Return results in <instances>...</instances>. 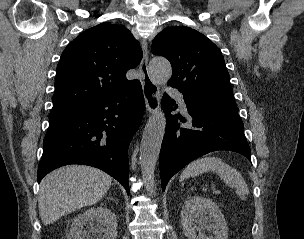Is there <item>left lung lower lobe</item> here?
I'll return each instance as SVG.
<instances>
[{"mask_svg":"<svg viewBox=\"0 0 304 239\" xmlns=\"http://www.w3.org/2000/svg\"><path fill=\"white\" fill-rule=\"evenodd\" d=\"M193 118L191 128L180 126L185 119L172 115L175 101L167 94L162 99L166 114V131L160 152V175L162 189L170 178L194 159L212 151L228 150L240 153L251 161V150L238 114L201 107L186 102Z\"/></svg>","mask_w":304,"mask_h":239,"instance_id":"left-lung-lower-lobe-1","label":"left lung lower lobe"}]
</instances>
